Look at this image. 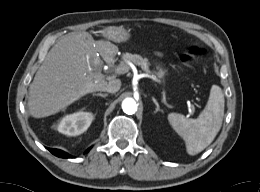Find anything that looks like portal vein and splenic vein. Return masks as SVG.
Wrapping results in <instances>:
<instances>
[{
    "label": "portal vein and splenic vein",
    "mask_w": 260,
    "mask_h": 192,
    "mask_svg": "<svg viewBox=\"0 0 260 192\" xmlns=\"http://www.w3.org/2000/svg\"><path fill=\"white\" fill-rule=\"evenodd\" d=\"M129 71V66L121 63L115 68V74H125Z\"/></svg>",
    "instance_id": "obj_1"
}]
</instances>
